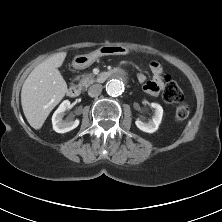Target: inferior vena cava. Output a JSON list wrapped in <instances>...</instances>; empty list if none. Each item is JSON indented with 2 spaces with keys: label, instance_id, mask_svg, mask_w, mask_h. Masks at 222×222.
Returning <instances> with one entry per match:
<instances>
[{
  "label": "inferior vena cava",
  "instance_id": "602c4592",
  "mask_svg": "<svg viewBox=\"0 0 222 222\" xmlns=\"http://www.w3.org/2000/svg\"><path fill=\"white\" fill-rule=\"evenodd\" d=\"M102 89H103V87H102L101 84H94V85L89 87L88 95L91 96V97H96V96L101 94Z\"/></svg>",
  "mask_w": 222,
  "mask_h": 222
}]
</instances>
